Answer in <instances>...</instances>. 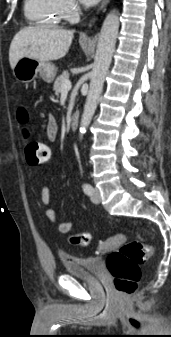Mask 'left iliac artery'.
Here are the masks:
<instances>
[{
	"label": "left iliac artery",
	"instance_id": "44dca946",
	"mask_svg": "<svg viewBox=\"0 0 171 337\" xmlns=\"http://www.w3.org/2000/svg\"><path fill=\"white\" fill-rule=\"evenodd\" d=\"M83 190L87 195H91L93 193V187L89 183L83 184Z\"/></svg>",
	"mask_w": 171,
	"mask_h": 337
}]
</instances>
